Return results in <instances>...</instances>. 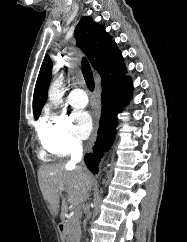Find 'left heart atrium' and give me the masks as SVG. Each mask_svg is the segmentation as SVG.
<instances>
[{
    "label": "left heart atrium",
    "instance_id": "39dd6f15",
    "mask_svg": "<svg viewBox=\"0 0 187 242\" xmlns=\"http://www.w3.org/2000/svg\"><path fill=\"white\" fill-rule=\"evenodd\" d=\"M73 119L75 121L76 134L85 139L89 136L93 129V118L88 111L79 110L74 112Z\"/></svg>",
    "mask_w": 187,
    "mask_h": 242
}]
</instances>
